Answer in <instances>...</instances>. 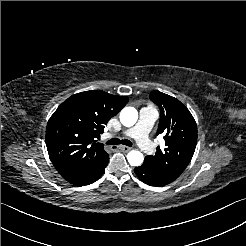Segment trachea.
Instances as JSON below:
<instances>
[{"instance_id":"1","label":"trachea","mask_w":246,"mask_h":246,"mask_svg":"<svg viewBox=\"0 0 246 246\" xmlns=\"http://www.w3.org/2000/svg\"><path fill=\"white\" fill-rule=\"evenodd\" d=\"M108 145H116V144H123L129 147H132V142L128 140H119L117 138H112L106 142Z\"/></svg>"}]
</instances>
